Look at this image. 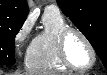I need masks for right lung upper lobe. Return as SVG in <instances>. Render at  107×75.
I'll return each instance as SVG.
<instances>
[{
	"label": "right lung upper lobe",
	"instance_id": "cb5924a9",
	"mask_svg": "<svg viewBox=\"0 0 107 75\" xmlns=\"http://www.w3.org/2000/svg\"><path fill=\"white\" fill-rule=\"evenodd\" d=\"M27 13L25 0H0V28L23 23Z\"/></svg>",
	"mask_w": 107,
	"mask_h": 75
}]
</instances>
